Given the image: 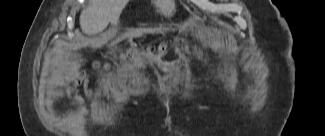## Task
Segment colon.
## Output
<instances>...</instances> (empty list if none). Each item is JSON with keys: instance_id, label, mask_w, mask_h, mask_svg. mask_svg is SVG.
I'll return each mask as SVG.
<instances>
[{"instance_id": "5ec220e1", "label": "colon", "mask_w": 325, "mask_h": 136, "mask_svg": "<svg viewBox=\"0 0 325 136\" xmlns=\"http://www.w3.org/2000/svg\"><path fill=\"white\" fill-rule=\"evenodd\" d=\"M147 50L153 54H160L166 50V47L164 45L150 46V47H148ZM135 52H136L135 49H131L127 54H128V56L132 57L135 54ZM95 65L97 66L98 62H96Z\"/></svg>"}]
</instances>
